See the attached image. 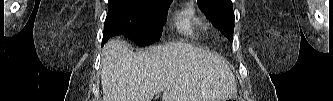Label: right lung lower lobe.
Wrapping results in <instances>:
<instances>
[{
  "label": "right lung lower lobe",
  "mask_w": 333,
  "mask_h": 101,
  "mask_svg": "<svg viewBox=\"0 0 333 101\" xmlns=\"http://www.w3.org/2000/svg\"><path fill=\"white\" fill-rule=\"evenodd\" d=\"M107 25H108V21H107V19H106V21H105V25H104L103 44H104L105 41H107V40H106V26H107Z\"/></svg>",
  "instance_id": "obj_1"
}]
</instances>
